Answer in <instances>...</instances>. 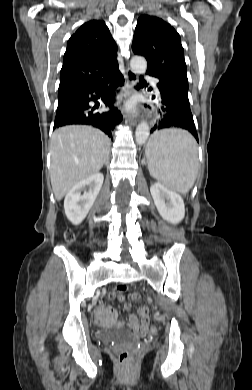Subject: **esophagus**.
<instances>
[{
    "instance_id": "esophagus-1",
    "label": "esophagus",
    "mask_w": 252,
    "mask_h": 390,
    "mask_svg": "<svg viewBox=\"0 0 252 390\" xmlns=\"http://www.w3.org/2000/svg\"><path fill=\"white\" fill-rule=\"evenodd\" d=\"M126 78H127V85L130 89V93H133L135 91L134 86L137 82V75L129 68L126 69ZM138 116L137 114H133L127 119V122L131 126H135L137 124Z\"/></svg>"
}]
</instances>
